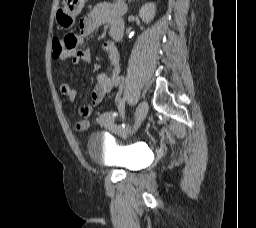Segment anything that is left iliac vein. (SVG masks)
<instances>
[{
	"instance_id": "left-iliac-vein-1",
	"label": "left iliac vein",
	"mask_w": 256,
	"mask_h": 228,
	"mask_svg": "<svg viewBox=\"0 0 256 228\" xmlns=\"http://www.w3.org/2000/svg\"><path fill=\"white\" fill-rule=\"evenodd\" d=\"M148 109H149V106L146 101H142L139 103L135 113V123L133 126L132 133L135 132L140 127L141 123L144 121L147 115Z\"/></svg>"
}]
</instances>
